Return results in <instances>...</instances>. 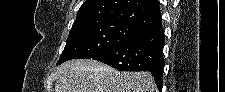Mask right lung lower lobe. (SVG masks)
Returning a JSON list of instances; mask_svg holds the SVG:
<instances>
[{"mask_svg": "<svg viewBox=\"0 0 225 92\" xmlns=\"http://www.w3.org/2000/svg\"><path fill=\"white\" fill-rule=\"evenodd\" d=\"M162 26L150 29L129 42L103 51L92 59L106 63L119 71H149L161 91L164 69Z\"/></svg>", "mask_w": 225, "mask_h": 92, "instance_id": "obj_1", "label": "right lung lower lobe"}]
</instances>
